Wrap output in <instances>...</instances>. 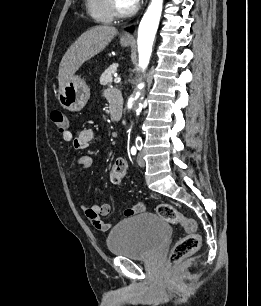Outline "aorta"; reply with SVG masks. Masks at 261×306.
<instances>
[{
  "mask_svg": "<svg viewBox=\"0 0 261 306\" xmlns=\"http://www.w3.org/2000/svg\"><path fill=\"white\" fill-rule=\"evenodd\" d=\"M162 7L163 0H152L139 25L137 44L139 66L142 70L147 68L150 61L153 41L158 29ZM138 88L142 89L143 84H140ZM139 97L140 92L138 91L128 100L127 107L129 110L136 106Z\"/></svg>",
  "mask_w": 261,
  "mask_h": 306,
  "instance_id": "aorta-1",
  "label": "aorta"
}]
</instances>
